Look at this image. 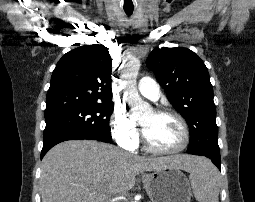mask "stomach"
<instances>
[{
	"label": "stomach",
	"mask_w": 255,
	"mask_h": 202,
	"mask_svg": "<svg viewBox=\"0 0 255 202\" xmlns=\"http://www.w3.org/2000/svg\"><path fill=\"white\" fill-rule=\"evenodd\" d=\"M152 173L150 185L144 186L152 202H190L191 187L180 169L165 168Z\"/></svg>",
	"instance_id": "stomach-1"
}]
</instances>
